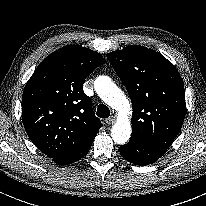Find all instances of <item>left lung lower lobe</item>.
Returning a JSON list of instances; mask_svg holds the SVG:
<instances>
[{"instance_id":"left-lung-lower-lobe-1","label":"left lung lower lobe","mask_w":206,"mask_h":206,"mask_svg":"<svg viewBox=\"0 0 206 206\" xmlns=\"http://www.w3.org/2000/svg\"><path fill=\"white\" fill-rule=\"evenodd\" d=\"M166 151L167 149L165 148L152 146L132 139L128 144L120 146V154L125 160L141 166L154 163Z\"/></svg>"}]
</instances>
